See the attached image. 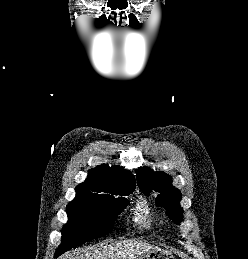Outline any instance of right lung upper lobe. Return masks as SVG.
Listing matches in <instances>:
<instances>
[{
    "label": "right lung upper lobe",
    "mask_w": 248,
    "mask_h": 259,
    "mask_svg": "<svg viewBox=\"0 0 248 259\" xmlns=\"http://www.w3.org/2000/svg\"><path fill=\"white\" fill-rule=\"evenodd\" d=\"M134 189L135 178L130 172L102 164L88 171L87 179L76 187V192L115 195Z\"/></svg>",
    "instance_id": "cb5924a9"
}]
</instances>
